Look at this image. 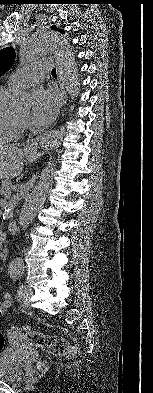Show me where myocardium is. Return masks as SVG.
Returning a JSON list of instances; mask_svg holds the SVG:
<instances>
[{"instance_id": "f54148a6", "label": "myocardium", "mask_w": 153, "mask_h": 393, "mask_svg": "<svg viewBox=\"0 0 153 393\" xmlns=\"http://www.w3.org/2000/svg\"><path fill=\"white\" fill-rule=\"evenodd\" d=\"M15 119H16L17 123H18L21 127H24V126L27 124L26 120L20 119L17 115H15Z\"/></svg>"}]
</instances>
